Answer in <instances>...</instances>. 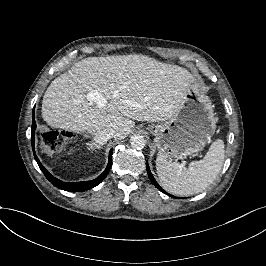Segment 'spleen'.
I'll return each instance as SVG.
<instances>
[{"label": "spleen", "mask_w": 266, "mask_h": 266, "mask_svg": "<svg viewBox=\"0 0 266 266\" xmlns=\"http://www.w3.org/2000/svg\"><path fill=\"white\" fill-rule=\"evenodd\" d=\"M224 158V142L217 139L211 144L204 158L191 162L188 168L172 162L159 152L156 170L165 190L175 195L189 196L204 191L214 182L221 171Z\"/></svg>", "instance_id": "spleen-1"}]
</instances>
